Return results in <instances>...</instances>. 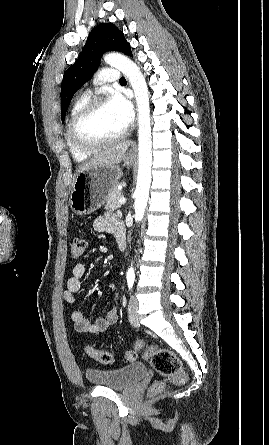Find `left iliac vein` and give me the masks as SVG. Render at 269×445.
Listing matches in <instances>:
<instances>
[{
  "label": "left iliac vein",
  "mask_w": 269,
  "mask_h": 445,
  "mask_svg": "<svg viewBox=\"0 0 269 445\" xmlns=\"http://www.w3.org/2000/svg\"><path fill=\"white\" fill-rule=\"evenodd\" d=\"M138 307V300L134 295H132L129 300L128 317L130 322L134 325H137L139 323Z\"/></svg>",
  "instance_id": "4c4485c4"
}]
</instances>
